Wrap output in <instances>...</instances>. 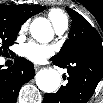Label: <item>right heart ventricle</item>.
<instances>
[{
	"instance_id": "right-heart-ventricle-1",
	"label": "right heart ventricle",
	"mask_w": 103,
	"mask_h": 103,
	"mask_svg": "<svg viewBox=\"0 0 103 103\" xmlns=\"http://www.w3.org/2000/svg\"><path fill=\"white\" fill-rule=\"evenodd\" d=\"M48 16H49L55 29L62 25L68 24L66 15L59 9H51L48 12Z\"/></svg>"
}]
</instances>
